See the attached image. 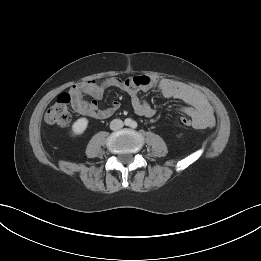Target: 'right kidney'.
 <instances>
[{"label":"right kidney","mask_w":261,"mask_h":261,"mask_svg":"<svg viewBox=\"0 0 261 261\" xmlns=\"http://www.w3.org/2000/svg\"><path fill=\"white\" fill-rule=\"evenodd\" d=\"M88 126V119L86 118H79L76 120L72 125V134L73 135H80L83 134Z\"/></svg>","instance_id":"right-kidney-1"}]
</instances>
